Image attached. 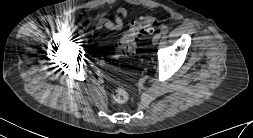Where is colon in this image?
<instances>
[{"mask_svg": "<svg viewBox=\"0 0 253 138\" xmlns=\"http://www.w3.org/2000/svg\"><path fill=\"white\" fill-rule=\"evenodd\" d=\"M158 21L154 17H145L140 21H135L130 24L128 31L118 43L114 57H121L130 54L136 46V42L140 35L148 33L152 34L155 31ZM113 99L117 103H125L129 98V93L125 88L119 87L113 92Z\"/></svg>", "mask_w": 253, "mask_h": 138, "instance_id": "obj_1", "label": "colon"}]
</instances>
